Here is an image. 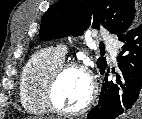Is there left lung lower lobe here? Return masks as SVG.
<instances>
[{"label":"left lung lower lobe","mask_w":142,"mask_h":119,"mask_svg":"<svg viewBox=\"0 0 142 119\" xmlns=\"http://www.w3.org/2000/svg\"><path fill=\"white\" fill-rule=\"evenodd\" d=\"M118 39L124 43L117 57L121 76L114 83L106 75L99 104L88 113V119H116L125 113H142V23Z\"/></svg>","instance_id":"1"}]
</instances>
